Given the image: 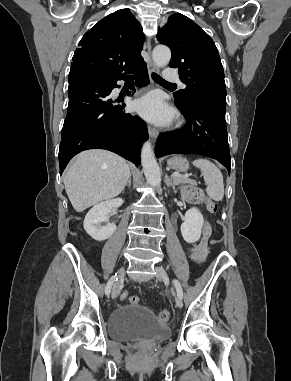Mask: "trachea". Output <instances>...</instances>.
I'll return each instance as SVG.
<instances>
[{"label": "trachea", "mask_w": 291, "mask_h": 381, "mask_svg": "<svg viewBox=\"0 0 291 381\" xmlns=\"http://www.w3.org/2000/svg\"><path fill=\"white\" fill-rule=\"evenodd\" d=\"M152 79L157 82V83H160V84H172L168 81H165L162 77H160L158 74L156 73H152Z\"/></svg>", "instance_id": "3493384b"}]
</instances>
